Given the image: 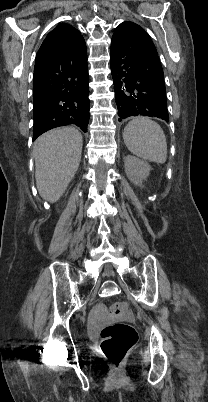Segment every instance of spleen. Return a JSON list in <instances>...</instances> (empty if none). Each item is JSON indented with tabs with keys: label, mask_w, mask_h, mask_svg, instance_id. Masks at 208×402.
<instances>
[{
	"label": "spleen",
	"mask_w": 208,
	"mask_h": 402,
	"mask_svg": "<svg viewBox=\"0 0 208 402\" xmlns=\"http://www.w3.org/2000/svg\"><path fill=\"white\" fill-rule=\"evenodd\" d=\"M123 140L128 150L149 162L165 164L167 160V142L159 124L150 118H134L123 132Z\"/></svg>",
	"instance_id": "1"
}]
</instances>
